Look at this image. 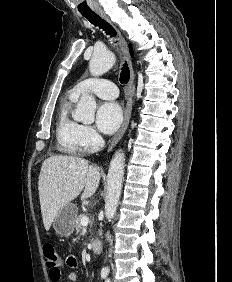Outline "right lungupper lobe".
Returning <instances> with one entry per match:
<instances>
[{"instance_id":"obj_1","label":"right lung upper lobe","mask_w":232,"mask_h":282,"mask_svg":"<svg viewBox=\"0 0 232 282\" xmlns=\"http://www.w3.org/2000/svg\"><path fill=\"white\" fill-rule=\"evenodd\" d=\"M129 48H130V53H131V55H133V52H132V47H131V45L129 46Z\"/></svg>"}]
</instances>
